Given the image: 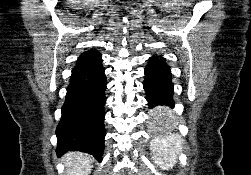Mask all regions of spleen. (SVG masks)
I'll use <instances>...</instances> for the list:
<instances>
[{"mask_svg": "<svg viewBox=\"0 0 251 175\" xmlns=\"http://www.w3.org/2000/svg\"><path fill=\"white\" fill-rule=\"evenodd\" d=\"M168 109L165 107H159L156 109V119L157 121H163V119H168L167 113ZM163 125V123H162ZM170 125H164L163 127V137L159 141H154L151 143V149L153 153L154 163L160 165L161 169H169L174 165L177 153L182 151L183 139L179 133H169Z\"/></svg>", "mask_w": 251, "mask_h": 175, "instance_id": "1", "label": "spleen"}]
</instances>
